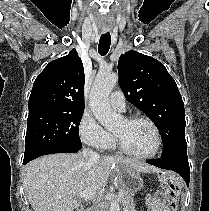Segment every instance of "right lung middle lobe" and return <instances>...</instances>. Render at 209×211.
<instances>
[{"label": "right lung middle lobe", "mask_w": 209, "mask_h": 211, "mask_svg": "<svg viewBox=\"0 0 209 211\" xmlns=\"http://www.w3.org/2000/svg\"><path fill=\"white\" fill-rule=\"evenodd\" d=\"M84 111H43L28 115L23 162L58 147L81 149L78 126Z\"/></svg>", "instance_id": "obj_1"}]
</instances>
